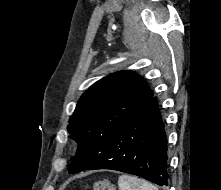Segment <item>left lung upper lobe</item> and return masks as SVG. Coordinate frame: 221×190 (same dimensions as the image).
I'll return each instance as SVG.
<instances>
[{"label": "left lung upper lobe", "mask_w": 221, "mask_h": 190, "mask_svg": "<svg viewBox=\"0 0 221 190\" xmlns=\"http://www.w3.org/2000/svg\"><path fill=\"white\" fill-rule=\"evenodd\" d=\"M153 97L145 80L131 71L104 77L79 99L67 127L78 148L68 171L88 169L118 128Z\"/></svg>", "instance_id": "1"}]
</instances>
